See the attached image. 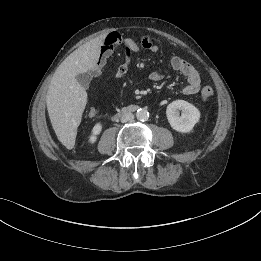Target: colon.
Here are the masks:
<instances>
[{
    "label": "colon",
    "instance_id": "5ec220e1",
    "mask_svg": "<svg viewBox=\"0 0 261 261\" xmlns=\"http://www.w3.org/2000/svg\"><path fill=\"white\" fill-rule=\"evenodd\" d=\"M214 95V91L210 86H205L201 91V99L204 102L210 100Z\"/></svg>",
    "mask_w": 261,
    "mask_h": 261
}]
</instances>
